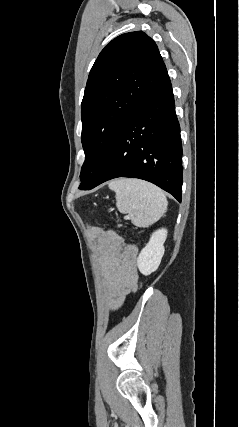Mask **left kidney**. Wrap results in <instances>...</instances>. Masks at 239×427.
Instances as JSON below:
<instances>
[{
    "mask_svg": "<svg viewBox=\"0 0 239 427\" xmlns=\"http://www.w3.org/2000/svg\"><path fill=\"white\" fill-rule=\"evenodd\" d=\"M167 238V230L162 228L155 231L149 242L140 252L137 258V266L143 275H149L156 271L164 255V242Z\"/></svg>",
    "mask_w": 239,
    "mask_h": 427,
    "instance_id": "1",
    "label": "left kidney"
}]
</instances>
